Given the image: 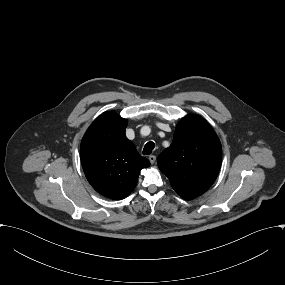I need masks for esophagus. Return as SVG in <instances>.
<instances>
[{
	"label": "esophagus",
	"instance_id": "obj_1",
	"mask_svg": "<svg viewBox=\"0 0 285 285\" xmlns=\"http://www.w3.org/2000/svg\"><path fill=\"white\" fill-rule=\"evenodd\" d=\"M148 159H149L151 164H154V162L156 160V156L155 155H150Z\"/></svg>",
	"mask_w": 285,
	"mask_h": 285
}]
</instances>
